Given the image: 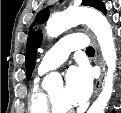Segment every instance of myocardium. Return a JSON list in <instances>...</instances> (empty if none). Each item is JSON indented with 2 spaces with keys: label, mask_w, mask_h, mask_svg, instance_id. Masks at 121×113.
I'll return each mask as SVG.
<instances>
[{
  "label": "myocardium",
  "mask_w": 121,
  "mask_h": 113,
  "mask_svg": "<svg viewBox=\"0 0 121 113\" xmlns=\"http://www.w3.org/2000/svg\"><path fill=\"white\" fill-rule=\"evenodd\" d=\"M47 97V105L51 111V113H69L72 110V107H68L66 109H60L52 98L50 92L46 94Z\"/></svg>",
  "instance_id": "myocardium-1"
}]
</instances>
